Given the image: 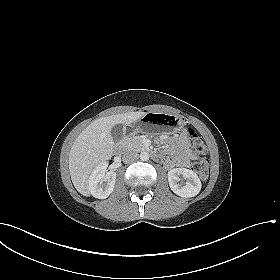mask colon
I'll use <instances>...</instances> for the list:
<instances>
[{
    "label": "colon",
    "mask_w": 280,
    "mask_h": 280,
    "mask_svg": "<svg viewBox=\"0 0 280 280\" xmlns=\"http://www.w3.org/2000/svg\"><path fill=\"white\" fill-rule=\"evenodd\" d=\"M186 134L190 140L192 150L199 155L207 152L206 144L203 138L192 128L186 129ZM193 170L197 175L205 180L209 173V162L206 158H200L193 164Z\"/></svg>",
    "instance_id": "colon-1"
}]
</instances>
